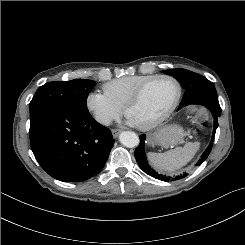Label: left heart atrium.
I'll use <instances>...</instances> for the list:
<instances>
[{
	"label": "left heart atrium",
	"mask_w": 245,
	"mask_h": 245,
	"mask_svg": "<svg viewBox=\"0 0 245 245\" xmlns=\"http://www.w3.org/2000/svg\"><path fill=\"white\" fill-rule=\"evenodd\" d=\"M127 124H129L131 126H138V124L135 122V120L132 119L130 116H128V118H127Z\"/></svg>",
	"instance_id": "1"
}]
</instances>
